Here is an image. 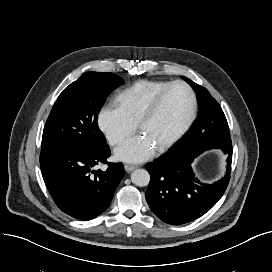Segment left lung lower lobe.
Wrapping results in <instances>:
<instances>
[{
	"mask_svg": "<svg viewBox=\"0 0 272 272\" xmlns=\"http://www.w3.org/2000/svg\"><path fill=\"white\" fill-rule=\"evenodd\" d=\"M221 149L228 154L227 173L213 184L201 183L191 163L205 150ZM232 144L220 147L203 146L185 137L175 148L154 162L146 164L150 183L146 199L155 215L171 225H181L205 214L222 197L230 179Z\"/></svg>",
	"mask_w": 272,
	"mask_h": 272,
	"instance_id": "1",
	"label": "left lung lower lobe"
}]
</instances>
